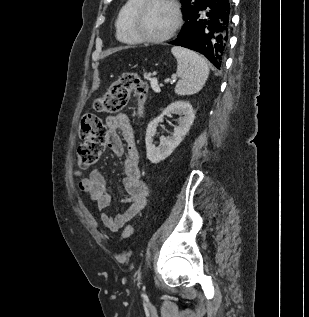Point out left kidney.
I'll return each mask as SVG.
<instances>
[{
    "instance_id": "obj_1",
    "label": "left kidney",
    "mask_w": 309,
    "mask_h": 317,
    "mask_svg": "<svg viewBox=\"0 0 309 317\" xmlns=\"http://www.w3.org/2000/svg\"><path fill=\"white\" fill-rule=\"evenodd\" d=\"M172 113L183 116V118L179 121L178 126L174 128L173 135L167 138L162 136L160 138V146L156 147L153 143L156 128L159 123L163 122L164 116ZM194 118V110L187 101H175L167 106L161 115L148 124L145 137L147 158L152 163L157 164L170 156L173 150L181 143L185 135L189 132Z\"/></svg>"
}]
</instances>
